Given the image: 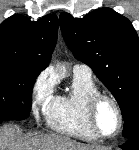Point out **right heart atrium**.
I'll return each instance as SVG.
<instances>
[{"mask_svg": "<svg viewBox=\"0 0 139 150\" xmlns=\"http://www.w3.org/2000/svg\"><path fill=\"white\" fill-rule=\"evenodd\" d=\"M53 97V83L45 73H41L33 86L32 109L34 113L44 110Z\"/></svg>", "mask_w": 139, "mask_h": 150, "instance_id": "obj_1", "label": "right heart atrium"}]
</instances>
